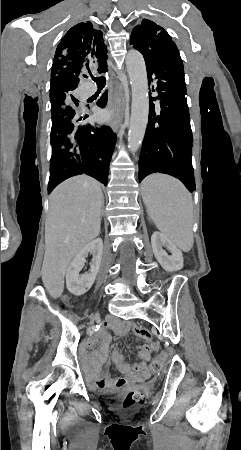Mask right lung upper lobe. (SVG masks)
<instances>
[{"label": "right lung upper lobe", "instance_id": "right-lung-upper-lobe-1", "mask_svg": "<svg viewBox=\"0 0 241 450\" xmlns=\"http://www.w3.org/2000/svg\"><path fill=\"white\" fill-rule=\"evenodd\" d=\"M103 34L91 22L72 27L58 45L51 71L50 101L72 96L83 72L106 68L107 46ZM84 76V75H83Z\"/></svg>", "mask_w": 241, "mask_h": 450}]
</instances>
